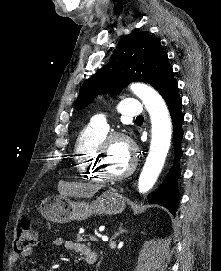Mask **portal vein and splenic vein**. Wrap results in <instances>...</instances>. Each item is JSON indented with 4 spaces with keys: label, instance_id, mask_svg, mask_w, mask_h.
<instances>
[{
    "label": "portal vein and splenic vein",
    "instance_id": "18ae733b",
    "mask_svg": "<svg viewBox=\"0 0 221 271\" xmlns=\"http://www.w3.org/2000/svg\"><path fill=\"white\" fill-rule=\"evenodd\" d=\"M89 241H90V242H98V241H99V238L96 237L95 234H90V235H89Z\"/></svg>",
    "mask_w": 221,
    "mask_h": 271
}]
</instances>
